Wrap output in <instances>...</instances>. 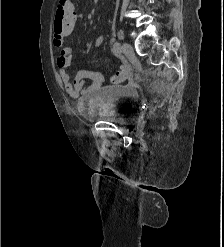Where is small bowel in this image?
Returning <instances> with one entry per match:
<instances>
[{
  "instance_id": "1",
  "label": "small bowel",
  "mask_w": 224,
  "mask_h": 247,
  "mask_svg": "<svg viewBox=\"0 0 224 247\" xmlns=\"http://www.w3.org/2000/svg\"><path fill=\"white\" fill-rule=\"evenodd\" d=\"M81 17L80 14L75 15V21ZM66 35L54 33L53 44L58 48V57L56 65L59 70L60 78L66 93L72 99H78L81 96L92 93L98 90L104 82V76L97 71L82 70L79 71L73 79H71L67 68L71 64L72 49L66 44ZM103 42V38L99 37L96 40V45L99 46Z\"/></svg>"
}]
</instances>
